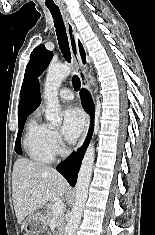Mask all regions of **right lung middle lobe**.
<instances>
[{
  "mask_svg": "<svg viewBox=\"0 0 155 235\" xmlns=\"http://www.w3.org/2000/svg\"><path fill=\"white\" fill-rule=\"evenodd\" d=\"M26 119L27 117L18 120L19 131L15 142V152L19 155H22V149L20 147V139Z\"/></svg>",
  "mask_w": 155,
  "mask_h": 235,
  "instance_id": "dd1d6c3e",
  "label": "right lung middle lobe"
}]
</instances>
